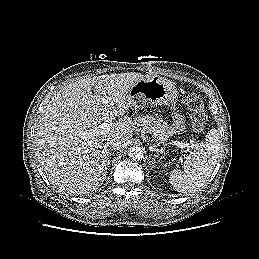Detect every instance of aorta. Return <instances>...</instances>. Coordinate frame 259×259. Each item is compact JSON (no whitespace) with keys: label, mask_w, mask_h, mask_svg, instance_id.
<instances>
[{"label":"aorta","mask_w":259,"mask_h":259,"mask_svg":"<svg viewBox=\"0 0 259 259\" xmlns=\"http://www.w3.org/2000/svg\"><path fill=\"white\" fill-rule=\"evenodd\" d=\"M144 152L140 147H131L128 156L133 161H140L143 159Z\"/></svg>","instance_id":"aorta-1"}]
</instances>
